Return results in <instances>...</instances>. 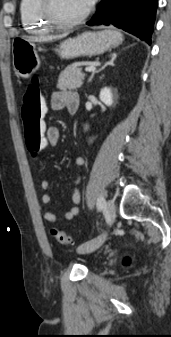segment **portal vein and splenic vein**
<instances>
[{
    "label": "portal vein and splenic vein",
    "mask_w": 171,
    "mask_h": 337,
    "mask_svg": "<svg viewBox=\"0 0 171 337\" xmlns=\"http://www.w3.org/2000/svg\"><path fill=\"white\" fill-rule=\"evenodd\" d=\"M96 70V67L95 66H89V67H86L85 68V71L86 72H93V71H95Z\"/></svg>",
    "instance_id": "portal-vein-and-splenic-vein-1"
}]
</instances>
